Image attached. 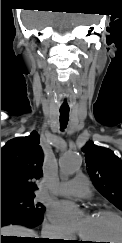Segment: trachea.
Segmentation results:
<instances>
[{
  "label": "trachea",
  "mask_w": 122,
  "mask_h": 243,
  "mask_svg": "<svg viewBox=\"0 0 122 243\" xmlns=\"http://www.w3.org/2000/svg\"><path fill=\"white\" fill-rule=\"evenodd\" d=\"M69 120V109L60 108V126L61 130L65 129Z\"/></svg>",
  "instance_id": "trachea-1"
}]
</instances>
